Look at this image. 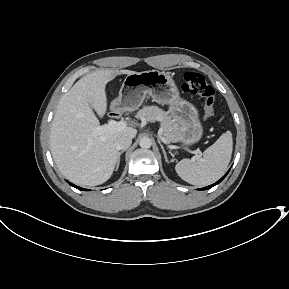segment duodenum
<instances>
[{"label": "duodenum", "instance_id": "duodenum-1", "mask_svg": "<svg viewBox=\"0 0 289 289\" xmlns=\"http://www.w3.org/2000/svg\"><path fill=\"white\" fill-rule=\"evenodd\" d=\"M109 115L113 118H118L120 116V112L115 109H112L110 110Z\"/></svg>", "mask_w": 289, "mask_h": 289}]
</instances>
